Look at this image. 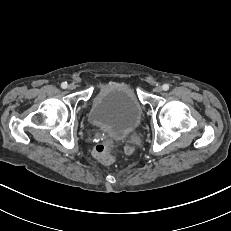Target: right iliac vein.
Listing matches in <instances>:
<instances>
[{"mask_svg": "<svg viewBox=\"0 0 231 231\" xmlns=\"http://www.w3.org/2000/svg\"><path fill=\"white\" fill-rule=\"evenodd\" d=\"M75 88H76V86L73 83L68 85L69 90H74Z\"/></svg>", "mask_w": 231, "mask_h": 231, "instance_id": "1", "label": "right iliac vein"}]
</instances>
